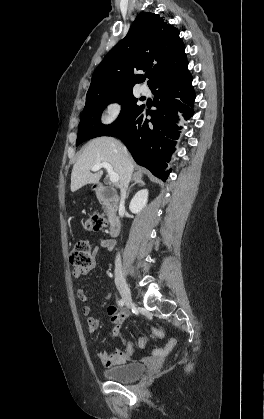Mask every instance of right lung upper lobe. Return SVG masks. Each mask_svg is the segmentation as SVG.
<instances>
[{
    "label": "right lung upper lobe",
    "instance_id": "cb5924a9",
    "mask_svg": "<svg viewBox=\"0 0 264 419\" xmlns=\"http://www.w3.org/2000/svg\"><path fill=\"white\" fill-rule=\"evenodd\" d=\"M184 50L176 28L157 14H140L94 71L86 97L132 90L145 79L135 75L136 70L151 74L149 87L160 79L188 72Z\"/></svg>",
    "mask_w": 264,
    "mask_h": 419
}]
</instances>
